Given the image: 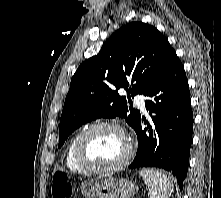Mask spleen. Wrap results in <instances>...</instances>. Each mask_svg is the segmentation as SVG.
<instances>
[{"instance_id": "1", "label": "spleen", "mask_w": 221, "mask_h": 198, "mask_svg": "<svg viewBox=\"0 0 221 198\" xmlns=\"http://www.w3.org/2000/svg\"><path fill=\"white\" fill-rule=\"evenodd\" d=\"M139 174L142 176L149 191V198H169L174 188L169 177L155 169H141Z\"/></svg>"}]
</instances>
